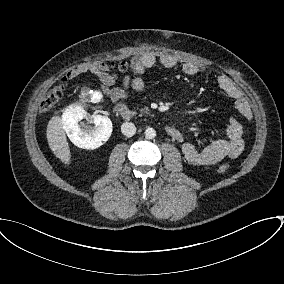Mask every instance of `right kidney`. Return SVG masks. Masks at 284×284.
I'll return each mask as SVG.
<instances>
[{"instance_id": "ca27d5eb", "label": "right kidney", "mask_w": 284, "mask_h": 284, "mask_svg": "<svg viewBox=\"0 0 284 284\" xmlns=\"http://www.w3.org/2000/svg\"><path fill=\"white\" fill-rule=\"evenodd\" d=\"M85 95L86 92L82 91L81 96ZM93 97L99 102L103 95L100 91H94ZM83 118H87V112L83 106L71 105L62 115L63 128L74 145L83 149H96L111 136L112 122L106 116L95 115L91 121L95 127L89 129L79 123Z\"/></svg>"}]
</instances>
